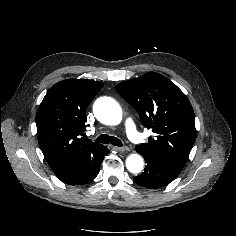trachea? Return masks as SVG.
Returning a JSON list of instances; mask_svg holds the SVG:
<instances>
[{
  "label": "trachea",
  "mask_w": 236,
  "mask_h": 236,
  "mask_svg": "<svg viewBox=\"0 0 236 236\" xmlns=\"http://www.w3.org/2000/svg\"><path fill=\"white\" fill-rule=\"evenodd\" d=\"M96 142L99 143H105V144H112L114 146H123L121 140H119L118 138L114 137V136H109L106 134H102L100 135L97 139Z\"/></svg>",
  "instance_id": "obj_1"
}]
</instances>
